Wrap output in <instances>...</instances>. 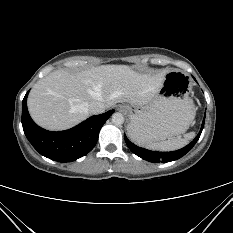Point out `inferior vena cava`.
<instances>
[{
	"mask_svg": "<svg viewBox=\"0 0 233 233\" xmlns=\"http://www.w3.org/2000/svg\"><path fill=\"white\" fill-rule=\"evenodd\" d=\"M105 105L101 102H92L89 105V113L93 115L101 114L105 111Z\"/></svg>",
	"mask_w": 233,
	"mask_h": 233,
	"instance_id": "obj_1",
	"label": "inferior vena cava"
}]
</instances>
